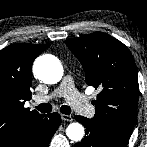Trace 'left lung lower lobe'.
<instances>
[{"label": "left lung lower lobe", "instance_id": "1", "mask_svg": "<svg viewBox=\"0 0 147 147\" xmlns=\"http://www.w3.org/2000/svg\"><path fill=\"white\" fill-rule=\"evenodd\" d=\"M75 119L86 128L85 137L75 147H126L127 142L120 140L103 125L82 116Z\"/></svg>", "mask_w": 147, "mask_h": 147}]
</instances>
